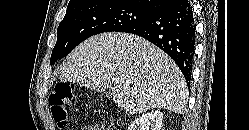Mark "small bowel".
Instances as JSON below:
<instances>
[{
    "instance_id": "obj_1",
    "label": "small bowel",
    "mask_w": 249,
    "mask_h": 130,
    "mask_svg": "<svg viewBox=\"0 0 249 130\" xmlns=\"http://www.w3.org/2000/svg\"><path fill=\"white\" fill-rule=\"evenodd\" d=\"M82 130H104V126L102 124L86 125Z\"/></svg>"
}]
</instances>
